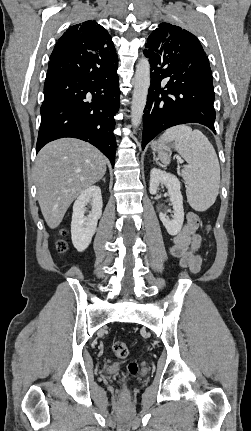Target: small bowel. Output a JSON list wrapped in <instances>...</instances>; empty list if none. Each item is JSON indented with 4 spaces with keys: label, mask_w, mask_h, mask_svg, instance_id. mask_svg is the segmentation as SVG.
<instances>
[{
    "label": "small bowel",
    "mask_w": 251,
    "mask_h": 431,
    "mask_svg": "<svg viewBox=\"0 0 251 431\" xmlns=\"http://www.w3.org/2000/svg\"><path fill=\"white\" fill-rule=\"evenodd\" d=\"M200 226L199 217L189 212L181 231L173 237L170 247L172 257L179 260V265L188 268L192 273H197L202 264L199 250L202 237L198 233Z\"/></svg>",
    "instance_id": "1"
}]
</instances>
